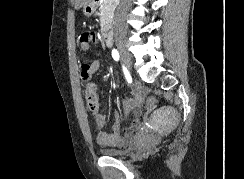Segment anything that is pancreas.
Here are the masks:
<instances>
[{"mask_svg": "<svg viewBox=\"0 0 244 179\" xmlns=\"http://www.w3.org/2000/svg\"><path fill=\"white\" fill-rule=\"evenodd\" d=\"M100 12V20H107L108 16H110L111 12H113L111 0H104V2H102Z\"/></svg>", "mask_w": 244, "mask_h": 179, "instance_id": "obj_1", "label": "pancreas"}]
</instances>
